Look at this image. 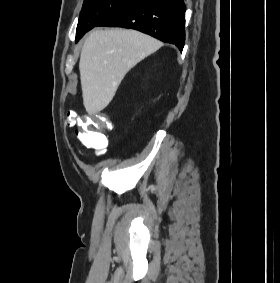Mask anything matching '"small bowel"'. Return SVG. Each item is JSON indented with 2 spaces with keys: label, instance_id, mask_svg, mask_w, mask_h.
Returning <instances> with one entry per match:
<instances>
[{
  "label": "small bowel",
  "instance_id": "small-bowel-1",
  "mask_svg": "<svg viewBox=\"0 0 280 283\" xmlns=\"http://www.w3.org/2000/svg\"><path fill=\"white\" fill-rule=\"evenodd\" d=\"M67 122L69 126H73V119L72 118H67Z\"/></svg>",
  "mask_w": 280,
  "mask_h": 283
}]
</instances>
